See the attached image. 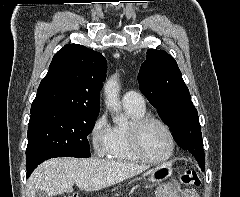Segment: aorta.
<instances>
[{
	"instance_id": "762f6f07",
	"label": "aorta",
	"mask_w": 240,
	"mask_h": 197,
	"mask_svg": "<svg viewBox=\"0 0 240 197\" xmlns=\"http://www.w3.org/2000/svg\"><path fill=\"white\" fill-rule=\"evenodd\" d=\"M104 93H105V104L106 106L118 113V115L113 119V121L118 124H124L126 122V118L123 114H119L121 111V106L119 103V83H118V76L113 75L105 84L104 86Z\"/></svg>"
}]
</instances>
